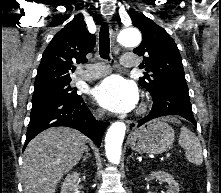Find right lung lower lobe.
Returning <instances> with one entry per match:
<instances>
[{"label": "right lung lower lobe", "mask_w": 221, "mask_h": 193, "mask_svg": "<svg viewBox=\"0 0 221 193\" xmlns=\"http://www.w3.org/2000/svg\"><path fill=\"white\" fill-rule=\"evenodd\" d=\"M30 122L24 148L43 130L55 126H67L81 131L99 147L108 122L97 121L82 97L70 99H48L32 103Z\"/></svg>", "instance_id": "obj_1"}]
</instances>
